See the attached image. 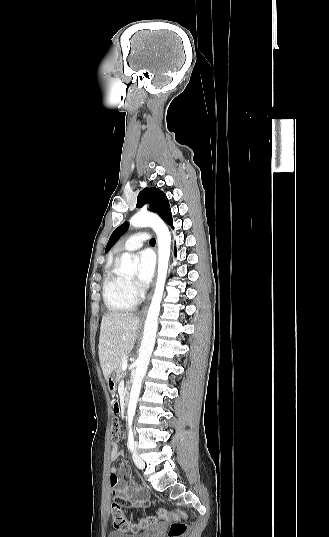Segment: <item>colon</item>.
I'll return each mask as SVG.
<instances>
[{
  "mask_svg": "<svg viewBox=\"0 0 329 537\" xmlns=\"http://www.w3.org/2000/svg\"><path fill=\"white\" fill-rule=\"evenodd\" d=\"M121 436V426L119 420L115 418L112 422V438L119 440ZM110 510L113 517V528L123 535L146 528L157 520L156 517H148L138 521H130L124 516L123 507L119 501H112ZM158 518L170 524L168 530L169 537H184L187 533L188 524L186 523V514L182 510L168 511L160 509L158 511Z\"/></svg>",
  "mask_w": 329,
  "mask_h": 537,
  "instance_id": "obj_1",
  "label": "colon"
}]
</instances>
